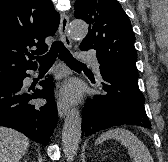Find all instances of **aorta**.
I'll return each instance as SVG.
<instances>
[{
    "mask_svg": "<svg viewBox=\"0 0 168 162\" xmlns=\"http://www.w3.org/2000/svg\"><path fill=\"white\" fill-rule=\"evenodd\" d=\"M72 38L82 39L88 32V26L83 21H73L69 27ZM81 139V116L77 109H71L63 125L62 145L63 152L68 160H72L79 147Z\"/></svg>",
    "mask_w": 168,
    "mask_h": 162,
    "instance_id": "obj_1",
    "label": "aorta"
}]
</instances>
